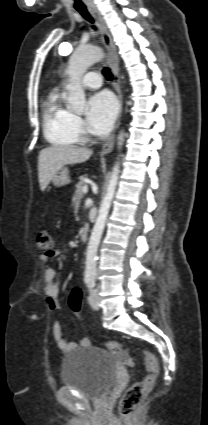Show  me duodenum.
<instances>
[{"label":"duodenum","instance_id":"duodenum-1","mask_svg":"<svg viewBox=\"0 0 208 425\" xmlns=\"http://www.w3.org/2000/svg\"><path fill=\"white\" fill-rule=\"evenodd\" d=\"M80 237L82 241H86L88 239V229L86 227L81 229Z\"/></svg>","mask_w":208,"mask_h":425}]
</instances>
